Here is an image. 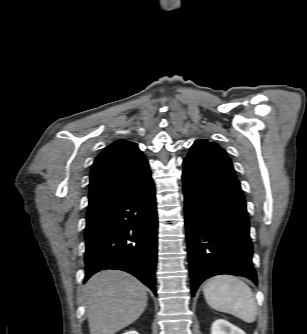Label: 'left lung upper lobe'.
<instances>
[{"mask_svg":"<svg viewBox=\"0 0 307 334\" xmlns=\"http://www.w3.org/2000/svg\"><path fill=\"white\" fill-rule=\"evenodd\" d=\"M184 167H196L208 172L227 174L236 177L231 160L224 149L215 142L205 139L196 140L188 156L183 161Z\"/></svg>","mask_w":307,"mask_h":334,"instance_id":"1","label":"left lung upper lobe"}]
</instances>
